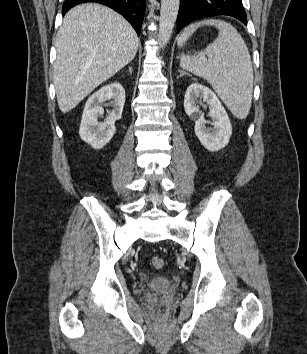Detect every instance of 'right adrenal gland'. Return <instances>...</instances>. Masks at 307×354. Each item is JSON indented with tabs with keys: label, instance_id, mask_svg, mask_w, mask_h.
<instances>
[{
	"label": "right adrenal gland",
	"instance_id": "obj_1",
	"mask_svg": "<svg viewBox=\"0 0 307 354\" xmlns=\"http://www.w3.org/2000/svg\"><path fill=\"white\" fill-rule=\"evenodd\" d=\"M129 72L132 73V67H129Z\"/></svg>",
	"mask_w": 307,
	"mask_h": 354
}]
</instances>
